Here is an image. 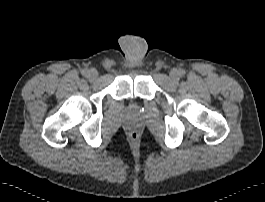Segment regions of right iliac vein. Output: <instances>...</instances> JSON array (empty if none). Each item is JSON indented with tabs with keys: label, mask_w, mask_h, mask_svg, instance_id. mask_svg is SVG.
Returning a JSON list of instances; mask_svg holds the SVG:
<instances>
[{
	"label": "right iliac vein",
	"mask_w": 265,
	"mask_h": 202,
	"mask_svg": "<svg viewBox=\"0 0 265 202\" xmlns=\"http://www.w3.org/2000/svg\"><path fill=\"white\" fill-rule=\"evenodd\" d=\"M97 77H98V73L96 70L94 69L89 70V75H88L89 80H95Z\"/></svg>",
	"instance_id": "1"
}]
</instances>
